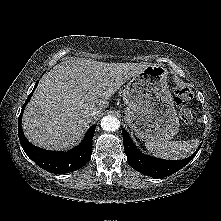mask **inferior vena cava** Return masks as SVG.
I'll return each mask as SVG.
<instances>
[{"label": "inferior vena cava", "mask_w": 221, "mask_h": 221, "mask_svg": "<svg viewBox=\"0 0 221 221\" xmlns=\"http://www.w3.org/2000/svg\"><path fill=\"white\" fill-rule=\"evenodd\" d=\"M99 109L98 108H93L91 111H90V115L91 116H95L99 113Z\"/></svg>", "instance_id": "obj_1"}]
</instances>
